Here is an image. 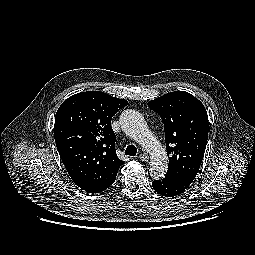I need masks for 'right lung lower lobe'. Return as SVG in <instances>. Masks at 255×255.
I'll return each mask as SVG.
<instances>
[{
    "mask_svg": "<svg viewBox=\"0 0 255 255\" xmlns=\"http://www.w3.org/2000/svg\"><path fill=\"white\" fill-rule=\"evenodd\" d=\"M114 181H115V179L112 180L111 182H109V183L103 185V186L85 189L84 191H86V192H88V193H92V194L99 193V192H102V191H104L105 189H107L112 183H114Z\"/></svg>",
    "mask_w": 255,
    "mask_h": 255,
    "instance_id": "98d812e1",
    "label": "right lung lower lobe"
}]
</instances>
